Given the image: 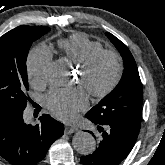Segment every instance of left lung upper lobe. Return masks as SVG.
I'll list each match as a JSON object with an SVG mask.
<instances>
[{"instance_id":"left-lung-upper-lobe-1","label":"left lung upper lobe","mask_w":165,"mask_h":165,"mask_svg":"<svg viewBox=\"0 0 165 165\" xmlns=\"http://www.w3.org/2000/svg\"><path fill=\"white\" fill-rule=\"evenodd\" d=\"M106 35L119 50L124 71L114 90L86 116L98 122H112L140 130L143 93L136 62L124 43L111 33L107 32Z\"/></svg>"}]
</instances>
